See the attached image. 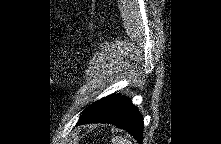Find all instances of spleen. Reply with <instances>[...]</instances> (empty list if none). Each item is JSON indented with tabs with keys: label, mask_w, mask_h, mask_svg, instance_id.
I'll return each instance as SVG.
<instances>
[{
	"label": "spleen",
	"mask_w": 221,
	"mask_h": 144,
	"mask_svg": "<svg viewBox=\"0 0 221 144\" xmlns=\"http://www.w3.org/2000/svg\"><path fill=\"white\" fill-rule=\"evenodd\" d=\"M112 144H132L131 141L127 140L126 138L115 136L111 139Z\"/></svg>",
	"instance_id": "3e777b00"
}]
</instances>
